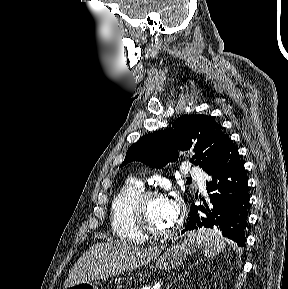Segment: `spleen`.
<instances>
[{"mask_svg": "<svg viewBox=\"0 0 288 289\" xmlns=\"http://www.w3.org/2000/svg\"><path fill=\"white\" fill-rule=\"evenodd\" d=\"M195 239L204 246L205 256L213 258L226 247L222 233L218 229L201 228L197 232L190 233Z\"/></svg>", "mask_w": 288, "mask_h": 289, "instance_id": "3e777b00", "label": "spleen"}]
</instances>
